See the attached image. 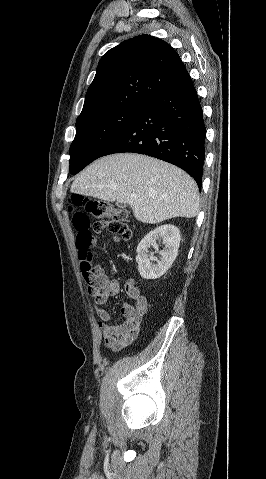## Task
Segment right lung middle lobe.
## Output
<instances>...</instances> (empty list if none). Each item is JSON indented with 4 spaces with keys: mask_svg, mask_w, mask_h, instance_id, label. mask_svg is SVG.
Instances as JSON below:
<instances>
[{
    "mask_svg": "<svg viewBox=\"0 0 266 479\" xmlns=\"http://www.w3.org/2000/svg\"><path fill=\"white\" fill-rule=\"evenodd\" d=\"M142 109H113L77 119L76 136L69 150L71 173H78L99 158Z\"/></svg>",
    "mask_w": 266,
    "mask_h": 479,
    "instance_id": "obj_1",
    "label": "right lung middle lobe"
}]
</instances>
